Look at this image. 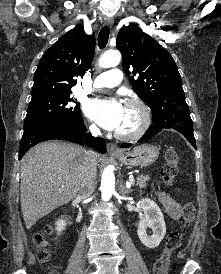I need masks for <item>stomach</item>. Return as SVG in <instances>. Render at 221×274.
<instances>
[{
  "mask_svg": "<svg viewBox=\"0 0 221 274\" xmlns=\"http://www.w3.org/2000/svg\"><path fill=\"white\" fill-rule=\"evenodd\" d=\"M159 156L156 146L143 144L135 147L132 151L115 155V157L125 165L146 167L153 164Z\"/></svg>",
  "mask_w": 221,
  "mask_h": 274,
  "instance_id": "0dacf381",
  "label": "stomach"
}]
</instances>
